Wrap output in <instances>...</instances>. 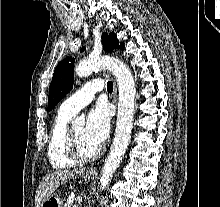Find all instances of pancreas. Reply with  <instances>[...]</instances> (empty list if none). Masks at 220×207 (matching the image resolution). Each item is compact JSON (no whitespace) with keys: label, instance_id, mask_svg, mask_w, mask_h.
<instances>
[{"label":"pancreas","instance_id":"obj_1","mask_svg":"<svg viewBox=\"0 0 220 207\" xmlns=\"http://www.w3.org/2000/svg\"><path fill=\"white\" fill-rule=\"evenodd\" d=\"M64 207H77V206L72 202L67 201Z\"/></svg>","mask_w":220,"mask_h":207}]
</instances>
